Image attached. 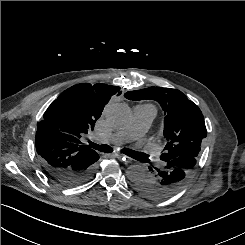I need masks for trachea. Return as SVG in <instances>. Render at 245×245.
Listing matches in <instances>:
<instances>
[{
  "mask_svg": "<svg viewBox=\"0 0 245 245\" xmlns=\"http://www.w3.org/2000/svg\"><path fill=\"white\" fill-rule=\"evenodd\" d=\"M89 146L91 148H94V149H96L98 151H101V152H105V153L113 152V149L109 145H106V144L98 145L96 143L90 142ZM122 152L124 154L128 155V156H131L133 154V150H130V149H127V148H123Z\"/></svg>",
  "mask_w": 245,
  "mask_h": 245,
  "instance_id": "obj_1",
  "label": "trachea"
}]
</instances>
